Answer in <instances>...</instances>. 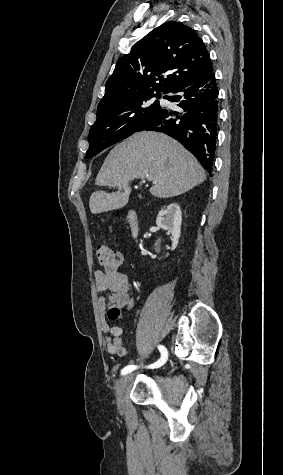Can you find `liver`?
Instances as JSON below:
<instances>
[{"label":"liver","mask_w":283,"mask_h":475,"mask_svg":"<svg viewBox=\"0 0 283 475\" xmlns=\"http://www.w3.org/2000/svg\"><path fill=\"white\" fill-rule=\"evenodd\" d=\"M145 176H152L150 194L156 198L180 196L206 180L198 160L177 140L159 132H137L111 150L95 182L123 192H93L91 214L124 208L132 192L129 182Z\"/></svg>","instance_id":"liver-1"}]
</instances>
